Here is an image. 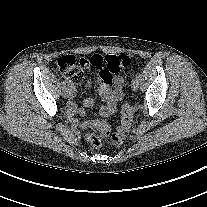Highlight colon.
<instances>
[{
  "mask_svg": "<svg viewBox=\"0 0 207 207\" xmlns=\"http://www.w3.org/2000/svg\"><path fill=\"white\" fill-rule=\"evenodd\" d=\"M130 63L131 59L127 55L96 56L90 60H77L75 57L68 55L59 58L56 65L68 84L73 86L82 80L84 70L90 65L99 67L102 77L108 80L113 74L129 66ZM121 114V125L118 132L110 139V143L114 146H120L130 132L133 122V107L128 103L123 104ZM99 130L103 136H108L110 133L109 126L105 122H100ZM86 139L94 148H99L102 144L101 138L94 134H88Z\"/></svg>",
  "mask_w": 207,
  "mask_h": 207,
  "instance_id": "obj_1",
  "label": "colon"
}]
</instances>
